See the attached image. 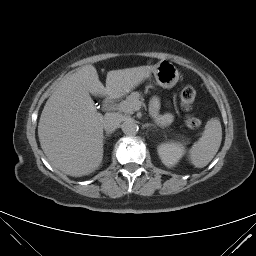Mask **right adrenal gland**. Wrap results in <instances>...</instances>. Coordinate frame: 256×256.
Returning a JSON list of instances; mask_svg holds the SVG:
<instances>
[{"label": "right adrenal gland", "mask_w": 256, "mask_h": 256, "mask_svg": "<svg viewBox=\"0 0 256 256\" xmlns=\"http://www.w3.org/2000/svg\"><path fill=\"white\" fill-rule=\"evenodd\" d=\"M109 136H110V133H106L105 137H103V138H107Z\"/></svg>", "instance_id": "2a0ac1e0"}]
</instances>
